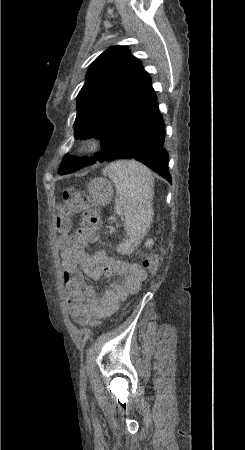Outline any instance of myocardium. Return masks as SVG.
Returning a JSON list of instances; mask_svg holds the SVG:
<instances>
[{"label":"myocardium","mask_w":245,"mask_h":450,"mask_svg":"<svg viewBox=\"0 0 245 450\" xmlns=\"http://www.w3.org/2000/svg\"><path fill=\"white\" fill-rule=\"evenodd\" d=\"M103 148V141L100 138L90 139L86 146L85 151L90 154L98 153Z\"/></svg>","instance_id":"myocardium-1"}]
</instances>
